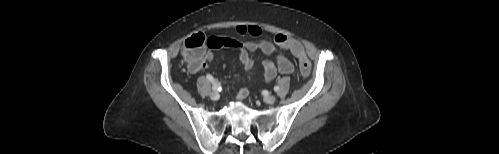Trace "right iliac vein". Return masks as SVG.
I'll return each instance as SVG.
<instances>
[{
	"label": "right iliac vein",
	"instance_id": "1",
	"mask_svg": "<svg viewBox=\"0 0 499 154\" xmlns=\"http://www.w3.org/2000/svg\"><path fill=\"white\" fill-rule=\"evenodd\" d=\"M210 98L213 100V101H217L219 100L220 96L217 92H211L210 93Z\"/></svg>",
	"mask_w": 499,
	"mask_h": 154
}]
</instances>
